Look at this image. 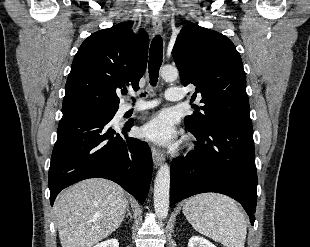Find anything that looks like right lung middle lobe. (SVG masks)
I'll return each instance as SVG.
<instances>
[{
  "label": "right lung middle lobe",
  "instance_id": "right-lung-middle-lobe-1",
  "mask_svg": "<svg viewBox=\"0 0 310 247\" xmlns=\"http://www.w3.org/2000/svg\"><path fill=\"white\" fill-rule=\"evenodd\" d=\"M62 112H63V118L84 116V115H101V114H108V115L114 116L115 113L117 112V109L108 110V109L86 107V108L71 109V110L62 111Z\"/></svg>",
  "mask_w": 310,
  "mask_h": 247
}]
</instances>
